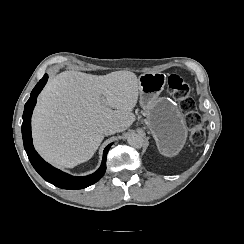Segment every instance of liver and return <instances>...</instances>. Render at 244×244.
Returning <instances> with one entry per match:
<instances>
[{"instance_id": "6515ba94", "label": "liver", "mask_w": 244, "mask_h": 244, "mask_svg": "<svg viewBox=\"0 0 244 244\" xmlns=\"http://www.w3.org/2000/svg\"><path fill=\"white\" fill-rule=\"evenodd\" d=\"M138 95V78L130 71L61 72L47 83L34 109L35 149L59 168L88 161L104 138L105 124H114L117 132L133 124Z\"/></svg>"}]
</instances>
